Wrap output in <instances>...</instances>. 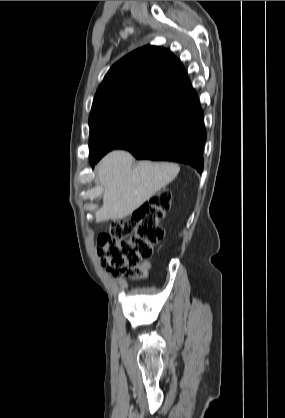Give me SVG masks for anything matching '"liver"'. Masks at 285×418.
Wrapping results in <instances>:
<instances>
[{
  "mask_svg": "<svg viewBox=\"0 0 285 418\" xmlns=\"http://www.w3.org/2000/svg\"><path fill=\"white\" fill-rule=\"evenodd\" d=\"M133 156L112 151L97 165V177L104 188L103 205L95 213L96 222L123 219L169 184L179 173L174 163L141 161L133 166Z\"/></svg>",
  "mask_w": 285,
  "mask_h": 418,
  "instance_id": "liver-1",
  "label": "liver"
}]
</instances>
